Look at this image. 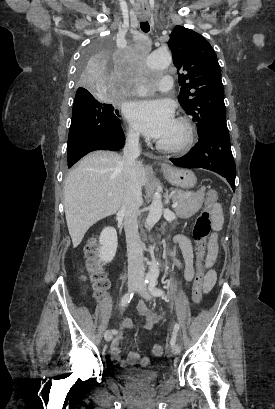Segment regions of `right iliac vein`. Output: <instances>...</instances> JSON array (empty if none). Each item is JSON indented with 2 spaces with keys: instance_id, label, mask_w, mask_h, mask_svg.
Masks as SVG:
<instances>
[{
  "instance_id": "right-iliac-vein-1",
  "label": "right iliac vein",
  "mask_w": 275,
  "mask_h": 409,
  "mask_svg": "<svg viewBox=\"0 0 275 409\" xmlns=\"http://www.w3.org/2000/svg\"><path fill=\"white\" fill-rule=\"evenodd\" d=\"M139 285H140V284H139L138 282H136V281H130V282H128V289H129L130 292H131V291H134L135 289H137V288L139 287ZM104 338H105V340H106L107 342L111 341L112 338H113L112 332L109 331V330H107V331L105 332V334H104Z\"/></svg>"
}]
</instances>
